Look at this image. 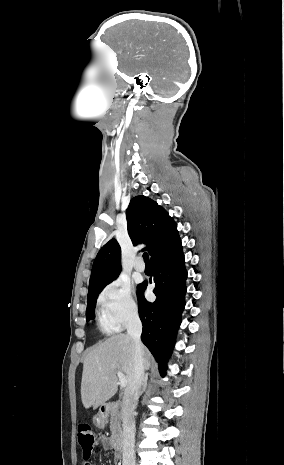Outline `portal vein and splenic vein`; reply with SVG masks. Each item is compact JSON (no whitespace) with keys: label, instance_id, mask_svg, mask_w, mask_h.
I'll list each match as a JSON object with an SVG mask.
<instances>
[{"label":"portal vein and splenic vein","instance_id":"18ae733b","mask_svg":"<svg viewBox=\"0 0 284 465\" xmlns=\"http://www.w3.org/2000/svg\"><path fill=\"white\" fill-rule=\"evenodd\" d=\"M117 377H118V379L120 381V387H123V389H124V387H126V385H127V379H126L125 375H123V373H121V371H117Z\"/></svg>","mask_w":284,"mask_h":465}]
</instances>
